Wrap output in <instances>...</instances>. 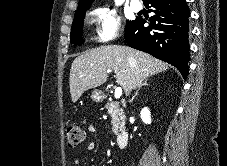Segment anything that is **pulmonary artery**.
<instances>
[{
	"label": "pulmonary artery",
	"mask_w": 227,
	"mask_h": 166,
	"mask_svg": "<svg viewBox=\"0 0 227 166\" xmlns=\"http://www.w3.org/2000/svg\"><path fill=\"white\" fill-rule=\"evenodd\" d=\"M130 6H131V9L135 12H138L142 9V3L140 1H137V0L131 2Z\"/></svg>",
	"instance_id": "pulmonary-artery-1"
}]
</instances>
